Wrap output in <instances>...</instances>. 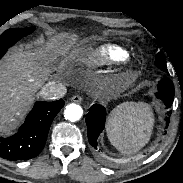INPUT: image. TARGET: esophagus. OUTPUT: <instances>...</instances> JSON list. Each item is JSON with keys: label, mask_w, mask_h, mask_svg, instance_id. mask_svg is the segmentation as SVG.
Listing matches in <instances>:
<instances>
[{"label": "esophagus", "mask_w": 183, "mask_h": 183, "mask_svg": "<svg viewBox=\"0 0 183 183\" xmlns=\"http://www.w3.org/2000/svg\"><path fill=\"white\" fill-rule=\"evenodd\" d=\"M71 100H72L73 102H76V103H81V102L83 101V98H82L81 96H79V95H75V96H73V97L71 98Z\"/></svg>", "instance_id": "obj_1"}]
</instances>
